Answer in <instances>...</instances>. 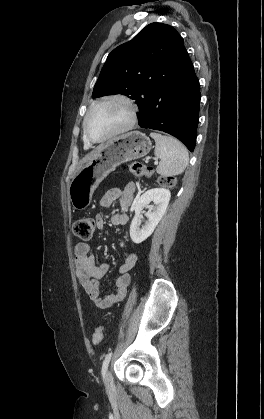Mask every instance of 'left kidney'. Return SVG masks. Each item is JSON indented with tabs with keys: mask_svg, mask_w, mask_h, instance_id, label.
<instances>
[{
	"mask_svg": "<svg viewBox=\"0 0 264 419\" xmlns=\"http://www.w3.org/2000/svg\"><path fill=\"white\" fill-rule=\"evenodd\" d=\"M170 191L166 188H153L147 190L141 197L138 199L135 205V216L130 225V237L132 241L136 244H139L146 240L155 230L159 221L163 217L168 203L170 201ZM150 202H153L151 210L146 213L147 222L145 225L139 227V216L143 208L148 206Z\"/></svg>",
	"mask_w": 264,
	"mask_h": 419,
	"instance_id": "left-kidney-1",
	"label": "left kidney"
}]
</instances>
